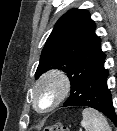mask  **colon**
<instances>
[{"label":"colon","mask_w":117,"mask_h":131,"mask_svg":"<svg viewBox=\"0 0 117 131\" xmlns=\"http://www.w3.org/2000/svg\"><path fill=\"white\" fill-rule=\"evenodd\" d=\"M42 131H70L68 127L62 124H53L45 127Z\"/></svg>","instance_id":"1"}]
</instances>
